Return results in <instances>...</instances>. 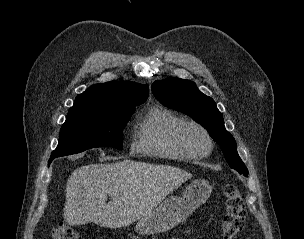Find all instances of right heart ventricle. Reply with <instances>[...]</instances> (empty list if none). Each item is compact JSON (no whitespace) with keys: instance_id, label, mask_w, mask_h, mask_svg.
I'll use <instances>...</instances> for the list:
<instances>
[{"instance_id":"e07e8e85","label":"right heart ventricle","mask_w":304,"mask_h":239,"mask_svg":"<svg viewBox=\"0 0 304 239\" xmlns=\"http://www.w3.org/2000/svg\"><path fill=\"white\" fill-rule=\"evenodd\" d=\"M182 118L168 109L153 107L136 123L137 150L151 157L184 160L188 157L175 145L174 128Z\"/></svg>"}]
</instances>
